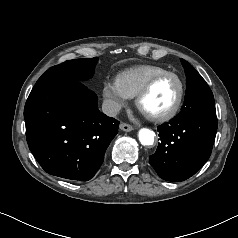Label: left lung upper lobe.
<instances>
[{"label":"left lung upper lobe","instance_id":"obj_1","mask_svg":"<svg viewBox=\"0 0 238 238\" xmlns=\"http://www.w3.org/2000/svg\"><path fill=\"white\" fill-rule=\"evenodd\" d=\"M181 63L186 73L185 102L179 113L180 116L215 110L213 93L202 76L184 59Z\"/></svg>","mask_w":238,"mask_h":238}]
</instances>
